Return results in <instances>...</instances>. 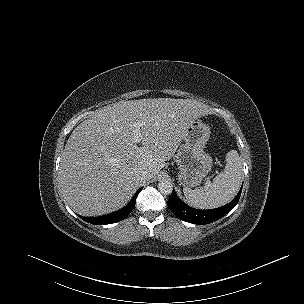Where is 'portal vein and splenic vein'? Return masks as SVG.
<instances>
[{"label":"portal vein and splenic vein","mask_w":304,"mask_h":304,"mask_svg":"<svg viewBox=\"0 0 304 304\" xmlns=\"http://www.w3.org/2000/svg\"><path fill=\"white\" fill-rule=\"evenodd\" d=\"M143 126L142 122H135L133 124L134 128V142L139 143L141 141V133H140V128Z\"/></svg>","instance_id":"1"}]
</instances>
